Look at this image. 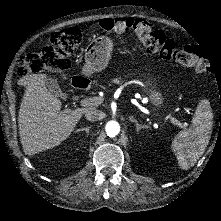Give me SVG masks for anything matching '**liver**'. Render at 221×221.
Listing matches in <instances>:
<instances>
[{"instance_id":"6515ba94","label":"liver","mask_w":221,"mask_h":221,"mask_svg":"<svg viewBox=\"0 0 221 221\" xmlns=\"http://www.w3.org/2000/svg\"><path fill=\"white\" fill-rule=\"evenodd\" d=\"M24 84L26 90L18 113L19 135L24 153L34 155L66 140L91 107L61 111V101L47 90L45 74L33 75Z\"/></svg>"}]
</instances>
